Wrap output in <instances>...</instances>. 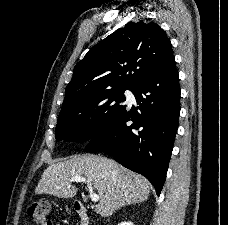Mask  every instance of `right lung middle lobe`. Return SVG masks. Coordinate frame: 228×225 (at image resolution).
Wrapping results in <instances>:
<instances>
[{"instance_id": "right-lung-middle-lobe-1", "label": "right lung middle lobe", "mask_w": 228, "mask_h": 225, "mask_svg": "<svg viewBox=\"0 0 228 225\" xmlns=\"http://www.w3.org/2000/svg\"><path fill=\"white\" fill-rule=\"evenodd\" d=\"M124 87H113L62 106L55 137L85 142L93 138L126 107Z\"/></svg>"}]
</instances>
